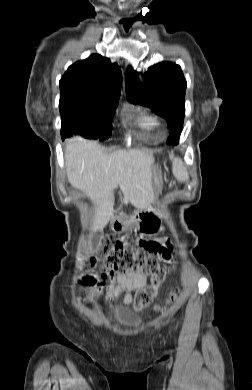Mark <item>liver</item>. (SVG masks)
<instances>
[{
  "instance_id": "6515ba94",
  "label": "liver",
  "mask_w": 252,
  "mask_h": 390,
  "mask_svg": "<svg viewBox=\"0 0 252 390\" xmlns=\"http://www.w3.org/2000/svg\"><path fill=\"white\" fill-rule=\"evenodd\" d=\"M65 161L68 182L96 205L93 228L103 229L113 214L112 191L120 187L124 197L146 204L152 196V155L138 149L111 154L95 141L75 136L68 139Z\"/></svg>"
}]
</instances>
